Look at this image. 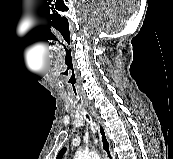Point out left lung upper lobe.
I'll use <instances>...</instances> for the list:
<instances>
[{
	"label": "left lung upper lobe",
	"instance_id": "left-lung-upper-lobe-1",
	"mask_svg": "<svg viewBox=\"0 0 173 159\" xmlns=\"http://www.w3.org/2000/svg\"><path fill=\"white\" fill-rule=\"evenodd\" d=\"M65 151H66V148H63V149L59 152V154H58V156H57L56 159H61V158H62V155L64 154Z\"/></svg>",
	"mask_w": 173,
	"mask_h": 159
}]
</instances>
